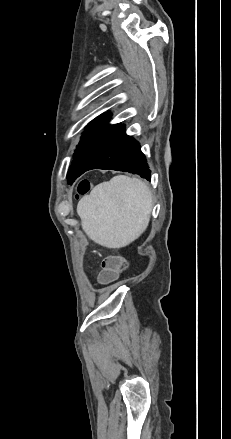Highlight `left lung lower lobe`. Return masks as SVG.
I'll list each match as a JSON object with an SVG mask.
<instances>
[{"label": "left lung lower lobe", "mask_w": 231, "mask_h": 439, "mask_svg": "<svg viewBox=\"0 0 231 439\" xmlns=\"http://www.w3.org/2000/svg\"><path fill=\"white\" fill-rule=\"evenodd\" d=\"M92 169L125 171L140 175L147 180L151 178V171L139 143L126 135L124 125H120L105 141L84 172Z\"/></svg>", "instance_id": "obj_1"}]
</instances>
